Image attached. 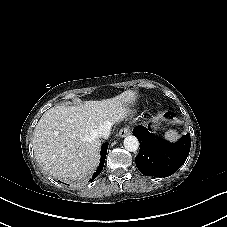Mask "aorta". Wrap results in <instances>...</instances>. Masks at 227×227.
<instances>
[{
  "label": "aorta",
  "instance_id": "1",
  "mask_svg": "<svg viewBox=\"0 0 227 227\" xmlns=\"http://www.w3.org/2000/svg\"><path fill=\"white\" fill-rule=\"evenodd\" d=\"M124 147L130 152H135L139 148V141L135 136L129 135L124 139Z\"/></svg>",
  "mask_w": 227,
  "mask_h": 227
}]
</instances>
